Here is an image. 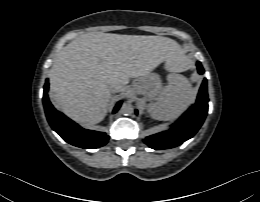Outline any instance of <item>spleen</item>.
<instances>
[{
    "instance_id": "obj_1",
    "label": "spleen",
    "mask_w": 260,
    "mask_h": 202,
    "mask_svg": "<svg viewBox=\"0 0 260 202\" xmlns=\"http://www.w3.org/2000/svg\"><path fill=\"white\" fill-rule=\"evenodd\" d=\"M195 98L196 91L189 80L183 75L172 74L168 76L167 85L161 90L156 101L148 105V111L157 120H173L181 115Z\"/></svg>"
}]
</instances>
